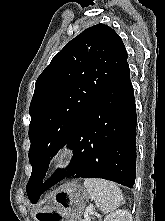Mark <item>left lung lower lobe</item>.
<instances>
[{
    "label": "left lung lower lobe",
    "instance_id": "obj_1",
    "mask_svg": "<svg viewBox=\"0 0 165 221\" xmlns=\"http://www.w3.org/2000/svg\"><path fill=\"white\" fill-rule=\"evenodd\" d=\"M74 157L40 186V195L65 177L102 178L132 188L136 176V106L126 63L82 118L68 142Z\"/></svg>",
    "mask_w": 165,
    "mask_h": 221
}]
</instances>
